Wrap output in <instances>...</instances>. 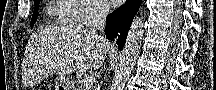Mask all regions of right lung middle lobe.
I'll use <instances>...</instances> for the list:
<instances>
[{
  "instance_id": "1",
  "label": "right lung middle lobe",
  "mask_w": 216,
  "mask_h": 90,
  "mask_svg": "<svg viewBox=\"0 0 216 90\" xmlns=\"http://www.w3.org/2000/svg\"><path fill=\"white\" fill-rule=\"evenodd\" d=\"M38 4H39V0H34L35 10L33 12V16H32V19H31L30 26H32L35 23L36 19H37V16H38V14H37Z\"/></svg>"
}]
</instances>
